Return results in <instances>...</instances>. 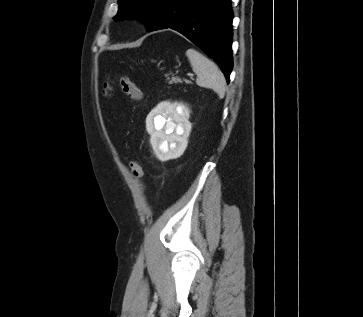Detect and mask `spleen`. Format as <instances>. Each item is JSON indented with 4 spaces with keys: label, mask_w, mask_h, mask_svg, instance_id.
I'll list each match as a JSON object with an SVG mask.
<instances>
[{
    "label": "spleen",
    "mask_w": 363,
    "mask_h": 317,
    "mask_svg": "<svg viewBox=\"0 0 363 317\" xmlns=\"http://www.w3.org/2000/svg\"><path fill=\"white\" fill-rule=\"evenodd\" d=\"M193 71L197 75L196 83L200 87L213 89L220 97H224L226 81L218 66L195 49L186 51Z\"/></svg>",
    "instance_id": "1"
}]
</instances>
